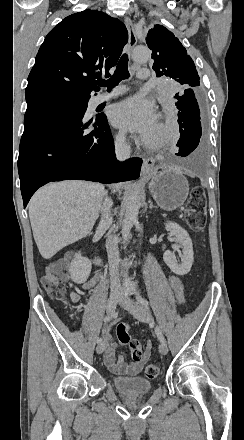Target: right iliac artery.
<instances>
[{"label":"right iliac artery","instance_id":"obj_1","mask_svg":"<svg viewBox=\"0 0 244 440\" xmlns=\"http://www.w3.org/2000/svg\"><path fill=\"white\" fill-rule=\"evenodd\" d=\"M111 319H112V315L108 314V315H106V316L104 317V322H105V323H108V322L111 321ZM102 341H103V339H102L101 337H99V338L97 339V343H98V344L102 343Z\"/></svg>","mask_w":244,"mask_h":440}]
</instances>
